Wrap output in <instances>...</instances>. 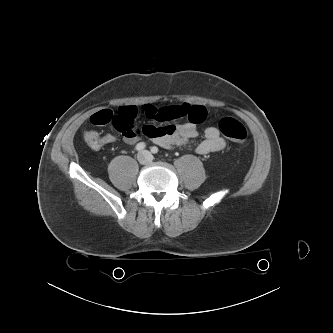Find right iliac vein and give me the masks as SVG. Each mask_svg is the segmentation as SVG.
I'll list each match as a JSON object with an SVG mask.
<instances>
[{
  "instance_id": "1",
  "label": "right iliac vein",
  "mask_w": 333,
  "mask_h": 333,
  "mask_svg": "<svg viewBox=\"0 0 333 333\" xmlns=\"http://www.w3.org/2000/svg\"><path fill=\"white\" fill-rule=\"evenodd\" d=\"M137 160L140 164H146L148 161V156L145 152H140L137 155Z\"/></svg>"
}]
</instances>
